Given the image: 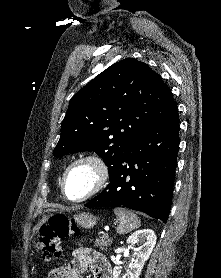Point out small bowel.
Listing matches in <instances>:
<instances>
[{
	"instance_id": "small-bowel-1",
	"label": "small bowel",
	"mask_w": 221,
	"mask_h": 278,
	"mask_svg": "<svg viewBox=\"0 0 221 278\" xmlns=\"http://www.w3.org/2000/svg\"><path fill=\"white\" fill-rule=\"evenodd\" d=\"M87 271L91 278H111V266L104 256L90 249H77L66 267V278H83Z\"/></svg>"
}]
</instances>
